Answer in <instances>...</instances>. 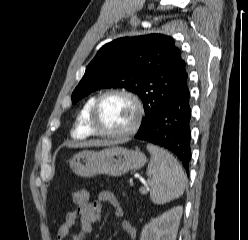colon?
Instances as JSON below:
<instances>
[{
  "label": "colon",
  "mask_w": 248,
  "mask_h": 240,
  "mask_svg": "<svg viewBox=\"0 0 248 240\" xmlns=\"http://www.w3.org/2000/svg\"><path fill=\"white\" fill-rule=\"evenodd\" d=\"M89 200V193L86 189H79L73 194L72 202L75 206H80L87 203Z\"/></svg>",
  "instance_id": "colon-1"
}]
</instances>
